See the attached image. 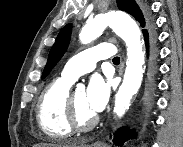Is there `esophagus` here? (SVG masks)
I'll use <instances>...</instances> for the list:
<instances>
[{
    "label": "esophagus",
    "instance_id": "esophagus-1",
    "mask_svg": "<svg viewBox=\"0 0 183 147\" xmlns=\"http://www.w3.org/2000/svg\"><path fill=\"white\" fill-rule=\"evenodd\" d=\"M95 145H96V146H100V143H99V142H97Z\"/></svg>",
    "mask_w": 183,
    "mask_h": 147
}]
</instances>
